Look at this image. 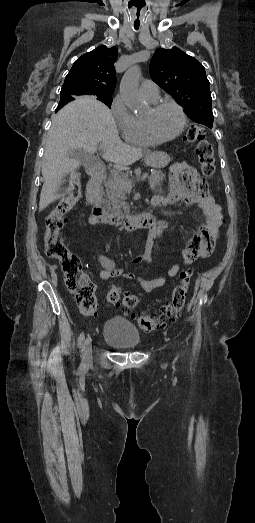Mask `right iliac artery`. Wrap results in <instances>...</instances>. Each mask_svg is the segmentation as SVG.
Returning <instances> with one entry per match:
<instances>
[{"label":"right iliac artery","instance_id":"obj_1","mask_svg":"<svg viewBox=\"0 0 255 523\" xmlns=\"http://www.w3.org/2000/svg\"><path fill=\"white\" fill-rule=\"evenodd\" d=\"M84 339H85V336H84V333L82 332L80 335H79V338H78V348L81 352H83L84 350ZM84 358V357H83Z\"/></svg>","mask_w":255,"mask_h":523}]
</instances>
